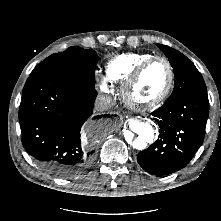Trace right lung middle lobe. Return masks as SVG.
<instances>
[{
	"instance_id": "1",
	"label": "right lung middle lobe",
	"mask_w": 221,
	"mask_h": 221,
	"mask_svg": "<svg viewBox=\"0 0 221 221\" xmlns=\"http://www.w3.org/2000/svg\"><path fill=\"white\" fill-rule=\"evenodd\" d=\"M98 56L94 50L69 47L66 51L52 54L32 71L51 70L75 82L95 87V69Z\"/></svg>"
}]
</instances>
